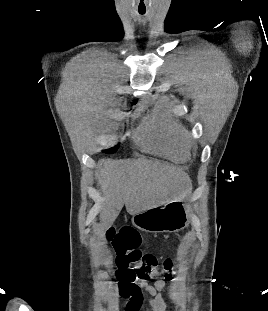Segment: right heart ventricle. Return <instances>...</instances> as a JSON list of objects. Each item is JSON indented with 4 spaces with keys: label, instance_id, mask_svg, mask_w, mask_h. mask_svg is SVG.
Segmentation results:
<instances>
[{
    "label": "right heart ventricle",
    "instance_id": "right-heart-ventricle-1",
    "mask_svg": "<svg viewBox=\"0 0 268 311\" xmlns=\"http://www.w3.org/2000/svg\"><path fill=\"white\" fill-rule=\"evenodd\" d=\"M135 140L143 149L175 162H185L190 155L182 126L163 103L141 122Z\"/></svg>",
    "mask_w": 268,
    "mask_h": 311
}]
</instances>
